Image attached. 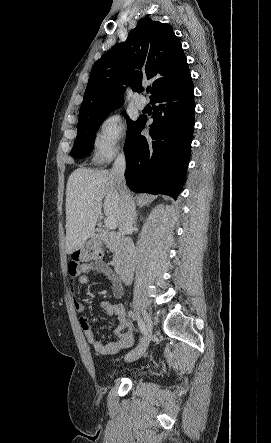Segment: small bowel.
I'll use <instances>...</instances> for the list:
<instances>
[{
    "label": "small bowel",
    "mask_w": 271,
    "mask_h": 443,
    "mask_svg": "<svg viewBox=\"0 0 271 443\" xmlns=\"http://www.w3.org/2000/svg\"><path fill=\"white\" fill-rule=\"evenodd\" d=\"M68 269L72 286H74L76 282L82 285L86 284L88 282L87 274L95 271L102 273L111 281L112 293L115 298H120L123 294V285L120 278L102 260H95L82 264L70 263ZM75 306L79 312H83L84 307L78 300L75 301ZM101 307L108 316L113 317L118 321L115 330L117 339L108 343L99 341L95 337L87 318L85 316H80L79 321L89 345L96 353L104 356L113 355L131 347L134 343L135 335L133 327L126 316L123 307L110 301L102 302Z\"/></svg>",
    "instance_id": "obj_1"
}]
</instances>
